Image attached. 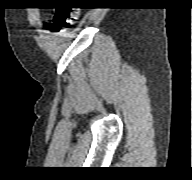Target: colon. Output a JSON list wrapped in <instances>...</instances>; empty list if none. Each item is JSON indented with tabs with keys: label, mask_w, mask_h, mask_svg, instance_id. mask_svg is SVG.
I'll return each instance as SVG.
<instances>
[{
	"label": "colon",
	"mask_w": 192,
	"mask_h": 180,
	"mask_svg": "<svg viewBox=\"0 0 192 180\" xmlns=\"http://www.w3.org/2000/svg\"><path fill=\"white\" fill-rule=\"evenodd\" d=\"M79 16L77 8H61L58 9L53 17L52 25L55 30L60 31L73 25Z\"/></svg>",
	"instance_id": "obj_1"
}]
</instances>
